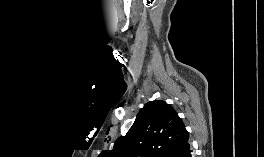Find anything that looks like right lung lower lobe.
Wrapping results in <instances>:
<instances>
[{
  "mask_svg": "<svg viewBox=\"0 0 264 157\" xmlns=\"http://www.w3.org/2000/svg\"><path fill=\"white\" fill-rule=\"evenodd\" d=\"M172 157H193L189 143L187 142L182 148L175 152Z\"/></svg>",
  "mask_w": 264,
  "mask_h": 157,
  "instance_id": "obj_1",
  "label": "right lung lower lobe"
}]
</instances>
